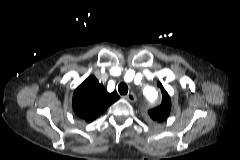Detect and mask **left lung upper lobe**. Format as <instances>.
<instances>
[{"mask_svg":"<svg viewBox=\"0 0 240 160\" xmlns=\"http://www.w3.org/2000/svg\"><path fill=\"white\" fill-rule=\"evenodd\" d=\"M159 86L162 91V98H163L162 104L160 106L148 111L150 118L153 121L158 122V123L166 120V118L170 114V109H171V100H170L168 93L166 92V90L164 89V87L162 86L161 83H159Z\"/></svg>","mask_w":240,"mask_h":160,"instance_id":"5c2ea615","label":"left lung upper lobe"}]
</instances>
